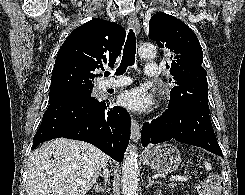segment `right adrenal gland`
I'll use <instances>...</instances> for the list:
<instances>
[{
  "mask_svg": "<svg viewBox=\"0 0 245 195\" xmlns=\"http://www.w3.org/2000/svg\"><path fill=\"white\" fill-rule=\"evenodd\" d=\"M105 188H106V182H104L103 185H102V184H98V183H96V184L94 185V189H95V191H96L97 193L104 192V191H105Z\"/></svg>",
  "mask_w": 245,
  "mask_h": 195,
  "instance_id": "obj_1",
  "label": "right adrenal gland"
}]
</instances>
